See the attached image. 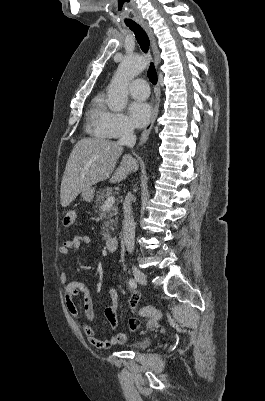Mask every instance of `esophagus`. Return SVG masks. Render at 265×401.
Wrapping results in <instances>:
<instances>
[{"label": "esophagus", "instance_id": "1", "mask_svg": "<svg viewBox=\"0 0 265 401\" xmlns=\"http://www.w3.org/2000/svg\"><path fill=\"white\" fill-rule=\"evenodd\" d=\"M139 23L142 25V27L144 28L145 32L147 33V35L150 38L151 41V45H152V51H153V55H154V60H155V65L156 67H158L160 61H161V57H160V52L156 43V38L155 35L152 31V29L149 27L148 23L145 22L144 20H138ZM159 104H160V87H159V83L157 84L156 87V93H155V104H154V108H153V112H152V116L149 120V122L147 123V125L145 126L143 132L141 133L140 139H139V144L142 145L143 143H145V141L147 140L149 133L155 123V120L158 116V111H159Z\"/></svg>", "mask_w": 265, "mask_h": 401}]
</instances>
